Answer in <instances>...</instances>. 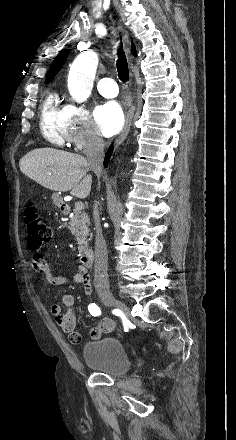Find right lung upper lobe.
I'll return each mask as SVG.
<instances>
[{
    "label": "right lung upper lobe",
    "instance_id": "right-lung-upper-lobe-1",
    "mask_svg": "<svg viewBox=\"0 0 236 440\" xmlns=\"http://www.w3.org/2000/svg\"><path fill=\"white\" fill-rule=\"evenodd\" d=\"M134 55L136 56L135 46L132 44ZM69 54V50H64L57 55L54 59L52 65L49 68V71L46 76V83H49L53 77L58 73V71L62 68L65 63L67 56Z\"/></svg>",
    "mask_w": 236,
    "mask_h": 440
}]
</instances>
